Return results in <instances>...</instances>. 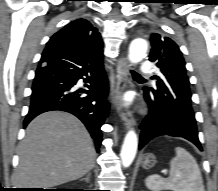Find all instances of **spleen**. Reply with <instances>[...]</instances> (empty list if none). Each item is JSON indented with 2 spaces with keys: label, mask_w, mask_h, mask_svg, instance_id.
Wrapping results in <instances>:
<instances>
[{
  "label": "spleen",
  "mask_w": 218,
  "mask_h": 191,
  "mask_svg": "<svg viewBox=\"0 0 218 191\" xmlns=\"http://www.w3.org/2000/svg\"><path fill=\"white\" fill-rule=\"evenodd\" d=\"M176 156L170 161V176H148L145 185L152 191H205L200 168L194 157L184 148H175Z\"/></svg>",
  "instance_id": "1"
}]
</instances>
